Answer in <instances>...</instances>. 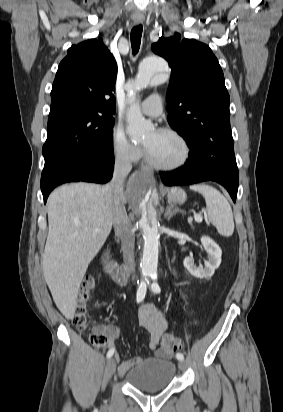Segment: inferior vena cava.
<instances>
[{
    "mask_svg": "<svg viewBox=\"0 0 283 412\" xmlns=\"http://www.w3.org/2000/svg\"><path fill=\"white\" fill-rule=\"evenodd\" d=\"M132 169V164L128 158L118 155L115 159L113 177L108 184L112 190V216L115 232L121 240V250L125 267L130 274L135 276L134 245L135 234L131 221L125 209V199L123 195V185L126 176Z\"/></svg>",
    "mask_w": 283,
    "mask_h": 412,
    "instance_id": "1",
    "label": "inferior vena cava"
}]
</instances>
